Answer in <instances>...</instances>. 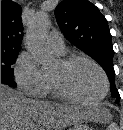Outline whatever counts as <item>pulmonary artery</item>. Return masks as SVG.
<instances>
[{"instance_id":"obj_1","label":"pulmonary artery","mask_w":123,"mask_h":130,"mask_svg":"<svg viewBox=\"0 0 123 130\" xmlns=\"http://www.w3.org/2000/svg\"><path fill=\"white\" fill-rule=\"evenodd\" d=\"M47 42L49 46L56 52H64L66 49L63 36L57 31L50 32V34L48 35Z\"/></svg>"}]
</instances>
